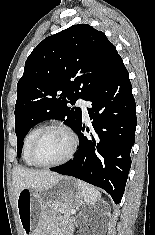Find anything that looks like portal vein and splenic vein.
I'll use <instances>...</instances> for the list:
<instances>
[{"instance_id":"obj_1","label":"portal vein and splenic vein","mask_w":155,"mask_h":235,"mask_svg":"<svg viewBox=\"0 0 155 235\" xmlns=\"http://www.w3.org/2000/svg\"><path fill=\"white\" fill-rule=\"evenodd\" d=\"M71 213H72V214H75V213H76V211H75L74 209H72V210H71Z\"/></svg>"}]
</instances>
